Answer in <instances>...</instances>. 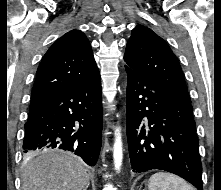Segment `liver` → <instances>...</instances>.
<instances>
[{"mask_svg": "<svg viewBox=\"0 0 221 190\" xmlns=\"http://www.w3.org/2000/svg\"><path fill=\"white\" fill-rule=\"evenodd\" d=\"M23 159L21 190H84L89 175L82 161L70 153L47 154Z\"/></svg>", "mask_w": 221, "mask_h": 190, "instance_id": "liver-1", "label": "liver"}]
</instances>
